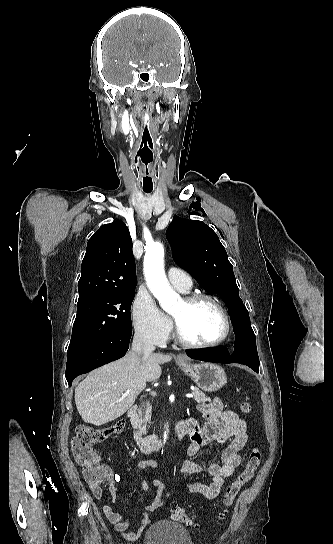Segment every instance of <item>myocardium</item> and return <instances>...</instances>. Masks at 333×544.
Segmentation results:
<instances>
[{
    "instance_id": "myocardium-1",
    "label": "myocardium",
    "mask_w": 333,
    "mask_h": 544,
    "mask_svg": "<svg viewBox=\"0 0 333 544\" xmlns=\"http://www.w3.org/2000/svg\"><path fill=\"white\" fill-rule=\"evenodd\" d=\"M183 301L188 307H193L201 302H210L214 304L218 308V310L220 311L223 317L224 331L218 339L212 342L197 343V342L191 341L184 335L183 331L180 328L179 323L173 317L175 338L180 344L188 348L208 349V348L219 346L227 340L231 332V319L225 305L220 299L209 294H192V295L186 296L183 299Z\"/></svg>"
}]
</instances>
